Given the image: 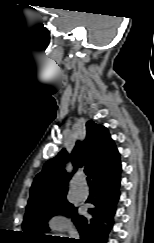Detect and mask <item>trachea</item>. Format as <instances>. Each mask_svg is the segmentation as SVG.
I'll use <instances>...</instances> for the list:
<instances>
[{
    "label": "trachea",
    "mask_w": 154,
    "mask_h": 243,
    "mask_svg": "<svg viewBox=\"0 0 154 243\" xmlns=\"http://www.w3.org/2000/svg\"><path fill=\"white\" fill-rule=\"evenodd\" d=\"M87 182H88V184L90 185V182H91V178H90V176L87 177Z\"/></svg>",
    "instance_id": "3493384b"
}]
</instances>
